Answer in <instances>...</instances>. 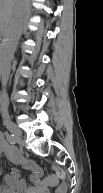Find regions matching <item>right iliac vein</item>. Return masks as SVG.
<instances>
[{
  "label": "right iliac vein",
  "mask_w": 103,
  "mask_h": 193,
  "mask_svg": "<svg viewBox=\"0 0 103 193\" xmlns=\"http://www.w3.org/2000/svg\"><path fill=\"white\" fill-rule=\"evenodd\" d=\"M6 127L17 139H21L22 132L14 123L7 122Z\"/></svg>",
  "instance_id": "obj_1"
}]
</instances>
